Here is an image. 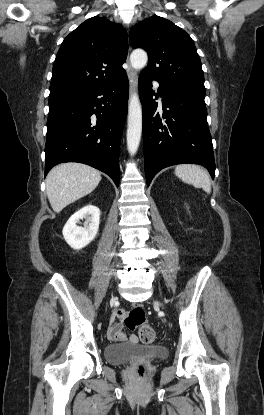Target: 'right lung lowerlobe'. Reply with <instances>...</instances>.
<instances>
[{
  "mask_svg": "<svg viewBox=\"0 0 264 415\" xmlns=\"http://www.w3.org/2000/svg\"><path fill=\"white\" fill-rule=\"evenodd\" d=\"M126 72L92 90L49 100L45 176L62 162L90 165L119 185V147L127 115Z\"/></svg>",
  "mask_w": 264,
  "mask_h": 415,
  "instance_id": "98d812e1",
  "label": "right lung lower lobe"
}]
</instances>
